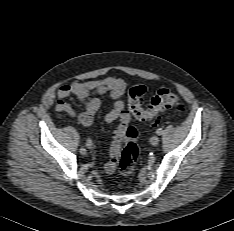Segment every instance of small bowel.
Masks as SVG:
<instances>
[{
  "instance_id": "obj_1",
  "label": "small bowel",
  "mask_w": 234,
  "mask_h": 231,
  "mask_svg": "<svg viewBox=\"0 0 234 231\" xmlns=\"http://www.w3.org/2000/svg\"><path fill=\"white\" fill-rule=\"evenodd\" d=\"M128 88V83L121 78L106 77L100 80H90L73 82L62 85L57 92L58 102L56 111L65 112L72 117H76L78 122L83 126H90L93 123L94 115L98 111L101 100L100 95H109L113 100V108L106 114L105 120L108 123L120 119L123 123L128 124L129 115L125 111L124 95ZM71 95L84 106V111L76 113L73 107L66 101ZM102 171L106 174H112L115 171L113 160L107 162Z\"/></svg>"
}]
</instances>
